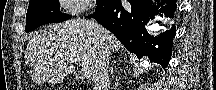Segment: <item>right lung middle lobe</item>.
<instances>
[{"instance_id":"1","label":"right lung middle lobe","mask_w":216,"mask_h":90,"mask_svg":"<svg viewBox=\"0 0 216 90\" xmlns=\"http://www.w3.org/2000/svg\"><path fill=\"white\" fill-rule=\"evenodd\" d=\"M102 1H97L98 5ZM59 1H30L26 15V32L47 23H59L71 16L59 11Z\"/></svg>"}]
</instances>
